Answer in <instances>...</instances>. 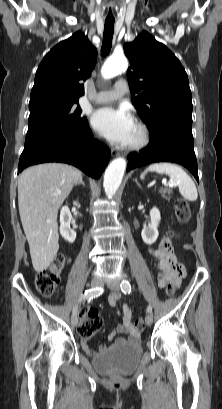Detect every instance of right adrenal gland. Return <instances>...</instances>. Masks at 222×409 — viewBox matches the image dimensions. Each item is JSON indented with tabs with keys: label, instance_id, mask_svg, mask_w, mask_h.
I'll return each mask as SVG.
<instances>
[{
	"label": "right adrenal gland",
	"instance_id": "2a0ac1e0",
	"mask_svg": "<svg viewBox=\"0 0 222 409\" xmlns=\"http://www.w3.org/2000/svg\"><path fill=\"white\" fill-rule=\"evenodd\" d=\"M78 185L85 186V183L83 182V178H82V177H81V178L79 179V181L75 184V186H78Z\"/></svg>",
	"mask_w": 222,
	"mask_h": 409
}]
</instances>
